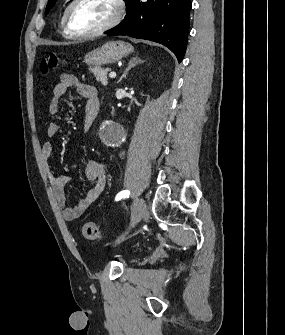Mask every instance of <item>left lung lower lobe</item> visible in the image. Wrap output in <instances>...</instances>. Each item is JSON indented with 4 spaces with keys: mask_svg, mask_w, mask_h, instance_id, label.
I'll list each match as a JSON object with an SVG mask.
<instances>
[{
    "mask_svg": "<svg viewBox=\"0 0 285 335\" xmlns=\"http://www.w3.org/2000/svg\"><path fill=\"white\" fill-rule=\"evenodd\" d=\"M127 15L107 35H127L161 43L181 62L189 32L190 0H125Z\"/></svg>",
    "mask_w": 285,
    "mask_h": 335,
    "instance_id": "left-lung-lower-lobe-1",
    "label": "left lung lower lobe"
}]
</instances>
